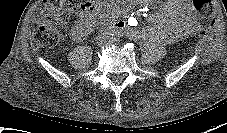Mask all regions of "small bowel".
<instances>
[{
    "instance_id": "c3829d8e",
    "label": "small bowel",
    "mask_w": 227,
    "mask_h": 133,
    "mask_svg": "<svg viewBox=\"0 0 227 133\" xmlns=\"http://www.w3.org/2000/svg\"><path fill=\"white\" fill-rule=\"evenodd\" d=\"M147 4L151 0H138ZM130 17L119 21L127 35L132 39H147L157 43H174L197 31V19L191 0H168L150 17L152 27L135 29L130 24Z\"/></svg>"
}]
</instances>
